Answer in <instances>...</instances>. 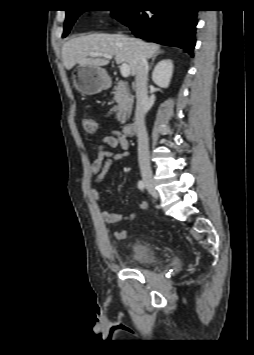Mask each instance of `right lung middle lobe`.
<instances>
[{
	"label": "right lung middle lobe",
	"instance_id": "right-lung-middle-lobe-1",
	"mask_svg": "<svg viewBox=\"0 0 254 355\" xmlns=\"http://www.w3.org/2000/svg\"><path fill=\"white\" fill-rule=\"evenodd\" d=\"M131 11V8H123L119 10H113L112 15L115 17L117 20L122 19L125 17L129 12ZM84 11H67L66 12V20L64 24V33L63 37H66L68 33L70 32V29L74 22L76 21L77 17L82 14Z\"/></svg>",
	"mask_w": 254,
	"mask_h": 355
}]
</instances>
